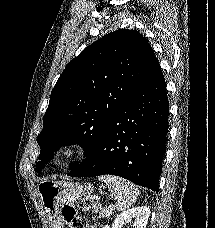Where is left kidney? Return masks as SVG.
I'll return each instance as SVG.
<instances>
[{
    "instance_id": "1",
    "label": "left kidney",
    "mask_w": 215,
    "mask_h": 228,
    "mask_svg": "<svg viewBox=\"0 0 215 228\" xmlns=\"http://www.w3.org/2000/svg\"><path fill=\"white\" fill-rule=\"evenodd\" d=\"M149 216L150 208H147V206L125 210L120 216H117L111 228H123V226H129V224H132L129 228H146Z\"/></svg>"
}]
</instances>
